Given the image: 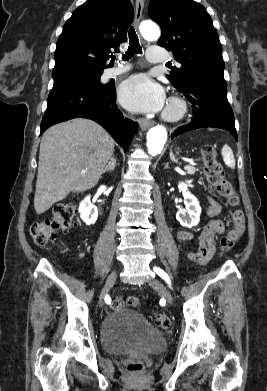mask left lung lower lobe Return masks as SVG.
Returning <instances> with one entry per match:
<instances>
[{"instance_id": "1", "label": "left lung lower lobe", "mask_w": 267, "mask_h": 391, "mask_svg": "<svg viewBox=\"0 0 267 391\" xmlns=\"http://www.w3.org/2000/svg\"><path fill=\"white\" fill-rule=\"evenodd\" d=\"M181 91L192 103L193 118L171 135L175 136L201 127L221 128L230 132L237 140L234 115L227 100V85L223 80L199 77L184 84Z\"/></svg>"}]
</instances>
